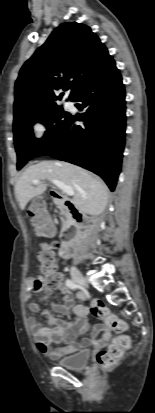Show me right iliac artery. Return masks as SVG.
I'll return each instance as SVG.
<instances>
[{
  "label": "right iliac artery",
  "instance_id": "obj_1",
  "mask_svg": "<svg viewBox=\"0 0 155 413\" xmlns=\"http://www.w3.org/2000/svg\"><path fill=\"white\" fill-rule=\"evenodd\" d=\"M65 284L72 290H75L78 288V285L73 280H70V279H67Z\"/></svg>",
  "mask_w": 155,
  "mask_h": 413
}]
</instances>
